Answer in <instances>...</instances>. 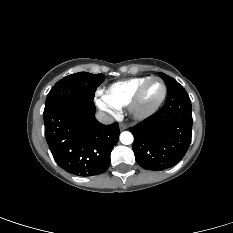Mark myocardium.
<instances>
[{
	"label": "myocardium",
	"mask_w": 233,
	"mask_h": 233,
	"mask_svg": "<svg viewBox=\"0 0 233 233\" xmlns=\"http://www.w3.org/2000/svg\"><path fill=\"white\" fill-rule=\"evenodd\" d=\"M153 80H158L161 82L162 87H163L162 95L153 106H151L149 108H142L141 107V99H142L143 93H144L147 85ZM166 95H167V86H166L165 81L158 76L149 77L138 87V89L134 93L132 99L130 100V102L128 104L129 112L136 119H145V118L153 115L156 111H158V109L163 104V102L166 98Z\"/></svg>",
	"instance_id": "obj_1"
}]
</instances>
